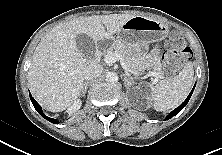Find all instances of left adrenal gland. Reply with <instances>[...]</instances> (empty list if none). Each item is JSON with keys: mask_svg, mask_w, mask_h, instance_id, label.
Masks as SVG:
<instances>
[{"mask_svg": "<svg viewBox=\"0 0 222 155\" xmlns=\"http://www.w3.org/2000/svg\"><path fill=\"white\" fill-rule=\"evenodd\" d=\"M124 80H125V83L128 85L129 84V79L126 75H124Z\"/></svg>", "mask_w": 222, "mask_h": 155, "instance_id": "1", "label": "left adrenal gland"}]
</instances>
